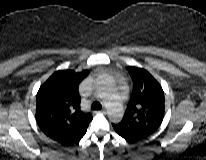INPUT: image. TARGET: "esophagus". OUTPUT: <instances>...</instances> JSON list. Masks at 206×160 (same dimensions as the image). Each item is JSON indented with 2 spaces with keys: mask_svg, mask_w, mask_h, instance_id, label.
Instances as JSON below:
<instances>
[{
  "mask_svg": "<svg viewBox=\"0 0 206 160\" xmlns=\"http://www.w3.org/2000/svg\"><path fill=\"white\" fill-rule=\"evenodd\" d=\"M100 112H101L102 114H106V109H105V108H102V109L100 110Z\"/></svg>",
  "mask_w": 206,
  "mask_h": 160,
  "instance_id": "34e87169",
  "label": "esophagus"
}]
</instances>
